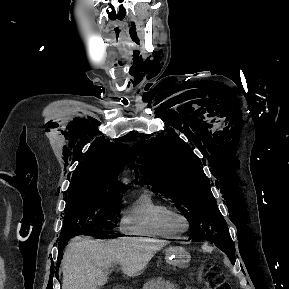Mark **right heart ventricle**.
Instances as JSON below:
<instances>
[{
    "label": "right heart ventricle",
    "mask_w": 289,
    "mask_h": 289,
    "mask_svg": "<svg viewBox=\"0 0 289 289\" xmlns=\"http://www.w3.org/2000/svg\"><path fill=\"white\" fill-rule=\"evenodd\" d=\"M166 208L152 191L144 190L135 202L122 211V230L129 235L174 238L177 234L168 230L162 221Z\"/></svg>",
    "instance_id": "1"
}]
</instances>
